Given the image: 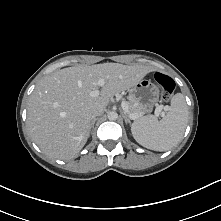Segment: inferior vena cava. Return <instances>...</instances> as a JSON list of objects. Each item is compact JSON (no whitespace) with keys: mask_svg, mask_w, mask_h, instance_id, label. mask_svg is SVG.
Returning <instances> with one entry per match:
<instances>
[{"mask_svg":"<svg viewBox=\"0 0 221 221\" xmlns=\"http://www.w3.org/2000/svg\"><path fill=\"white\" fill-rule=\"evenodd\" d=\"M103 112H104L103 108L95 109L92 113V119H95V117L102 115Z\"/></svg>","mask_w":221,"mask_h":221,"instance_id":"602c4592","label":"inferior vena cava"}]
</instances>
